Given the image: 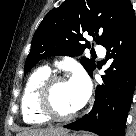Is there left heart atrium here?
<instances>
[{"label": "left heart atrium", "mask_w": 136, "mask_h": 136, "mask_svg": "<svg viewBox=\"0 0 136 136\" xmlns=\"http://www.w3.org/2000/svg\"><path fill=\"white\" fill-rule=\"evenodd\" d=\"M68 82L76 107H82L88 99L91 89L87 76L83 72L77 71Z\"/></svg>", "instance_id": "obj_1"}]
</instances>
